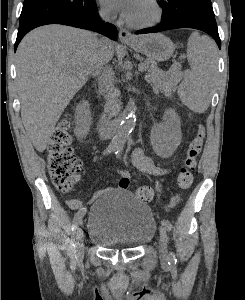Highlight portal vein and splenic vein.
Listing matches in <instances>:
<instances>
[{
  "label": "portal vein and splenic vein",
  "instance_id": "obj_1",
  "mask_svg": "<svg viewBox=\"0 0 245 300\" xmlns=\"http://www.w3.org/2000/svg\"><path fill=\"white\" fill-rule=\"evenodd\" d=\"M145 70H146L145 64H144V63H141V64L139 65V71L143 72V71H145Z\"/></svg>",
  "mask_w": 245,
  "mask_h": 300
}]
</instances>
